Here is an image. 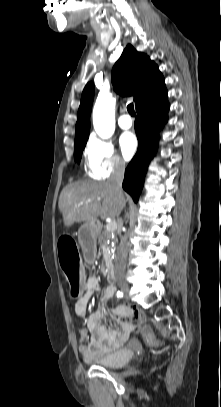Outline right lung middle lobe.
<instances>
[{
  "label": "right lung middle lobe",
  "mask_w": 221,
  "mask_h": 407,
  "mask_svg": "<svg viewBox=\"0 0 221 407\" xmlns=\"http://www.w3.org/2000/svg\"><path fill=\"white\" fill-rule=\"evenodd\" d=\"M86 145V141L82 143L75 144V149H74V156H75V161L78 163L80 162L81 156H82V151Z\"/></svg>",
  "instance_id": "dd1d6c3e"
}]
</instances>
